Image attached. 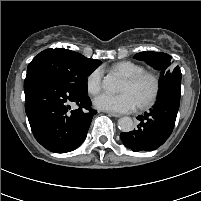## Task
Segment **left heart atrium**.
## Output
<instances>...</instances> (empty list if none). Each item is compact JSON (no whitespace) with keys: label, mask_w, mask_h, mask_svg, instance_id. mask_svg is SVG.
Instances as JSON below:
<instances>
[{"label":"left heart atrium","mask_w":201,"mask_h":201,"mask_svg":"<svg viewBox=\"0 0 201 201\" xmlns=\"http://www.w3.org/2000/svg\"><path fill=\"white\" fill-rule=\"evenodd\" d=\"M137 105V101L129 92H122L120 94L103 93L94 100V106L97 109L114 113L130 112Z\"/></svg>","instance_id":"1"}]
</instances>
